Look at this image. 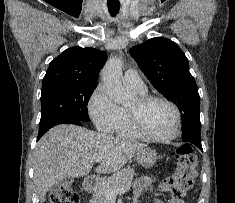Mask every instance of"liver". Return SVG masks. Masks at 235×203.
<instances>
[{"instance_id":"liver-1","label":"liver","mask_w":235,"mask_h":203,"mask_svg":"<svg viewBox=\"0 0 235 203\" xmlns=\"http://www.w3.org/2000/svg\"><path fill=\"white\" fill-rule=\"evenodd\" d=\"M143 148V143L72 124L53 127L39 140L34 152L33 181L40 201L56 183L88 175L97 157L103 160L95 172L109 174L122 168Z\"/></svg>"}]
</instances>
